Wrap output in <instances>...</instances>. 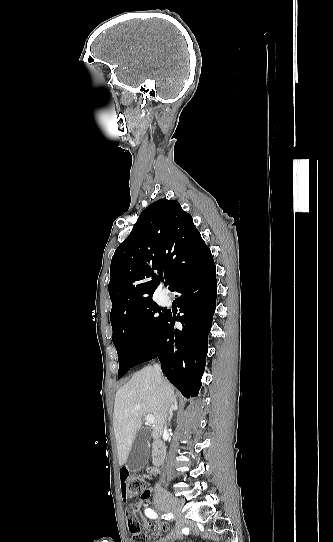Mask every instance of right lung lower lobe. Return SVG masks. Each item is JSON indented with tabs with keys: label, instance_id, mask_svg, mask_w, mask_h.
Wrapping results in <instances>:
<instances>
[{
	"label": "right lung lower lobe",
	"instance_id": "1",
	"mask_svg": "<svg viewBox=\"0 0 333 542\" xmlns=\"http://www.w3.org/2000/svg\"><path fill=\"white\" fill-rule=\"evenodd\" d=\"M176 301L182 315L169 312L152 347L135 365L158 357L162 371L185 397L197 396L208 352V334L216 307V267L203 239L176 254ZM175 321L182 329H175Z\"/></svg>",
	"mask_w": 333,
	"mask_h": 542
}]
</instances>
